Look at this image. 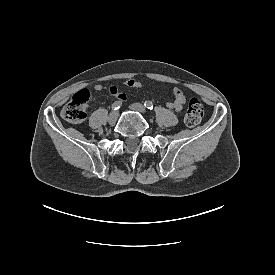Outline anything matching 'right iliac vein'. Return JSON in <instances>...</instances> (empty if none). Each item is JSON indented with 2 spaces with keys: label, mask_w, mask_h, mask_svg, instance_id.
Returning <instances> with one entry per match:
<instances>
[{
  "label": "right iliac vein",
  "mask_w": 275,
  "mask_h": 275,
  "mask_svg": "<svg viewBox=\"0 0 275 275\" xmlns=\"http://www.w3.org/2000/svg\"><path fill=\"white\" fill-rule=\"evenodd\" d=\"M117 118H118V113L115 112V111H112L109 114L108 120H109L110 123H115L117 121Z\"/></svg>",
  "instance_id": "right-iliac-vein-1"
}]
</instances>
